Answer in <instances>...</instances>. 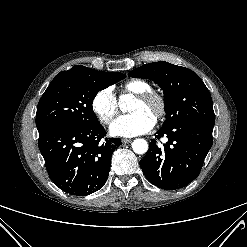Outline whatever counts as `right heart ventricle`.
I'll list each match as a JSON object with an SVG mask.
<instances>
[{
	"label": "right heart ventricle",
	"instance_id": "1",
	"mask_svg": "<svg viewBox=\"0 0 247 247\" xmlns=\"http://www.w3.org/2000/svg\"><path fill=\"white\" fill-rule=\"evenodd\" d=\"M151 86L148 82L140 79H131L123 83L121 86L122 93L138 95L146 91H150Z\"/></svg>",
	"mask_w": 247,
	"mask_h": 247
}]
</instances>
